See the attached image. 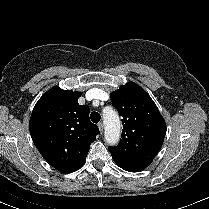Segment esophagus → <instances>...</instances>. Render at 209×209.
I'll use <instances>...</instances> for the list:
<instances>
[{
	"label": "esophagus",
	"mask_w": 209,
	"mask_h": 209,
	"mask_svg": "<svg viewBox=\"0 0 209 209\" xmlns=\"http://www.w3.org/2000/svg\"><path fill=\"white\" fill-rule=\"evenodd\" d=\"M98 128H99L100 132L102 133L103 130H104V125H103L102 122H100V123L98 124Z\"/></svg>",
	"instance_id": "esophagus-1"
}]
</instances>
